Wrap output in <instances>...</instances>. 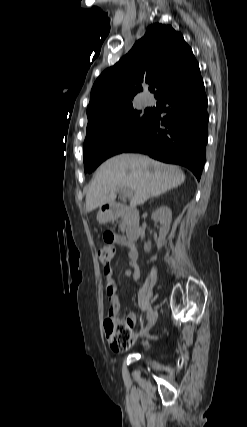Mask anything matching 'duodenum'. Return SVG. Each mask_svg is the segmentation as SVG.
Returning a JSON list of instances; mask_svg holds the SVG:
<instances>
[{"label":"duodenum","instance_id":"obj_1","mask_svg":"<svg viewBox=\"0 0 247 427\" xmlns=\"http://www.w3.org/2000/svg\"><path fill=\"white\" fill-rule=\"evenodd\" d=\"M104 211L109 218L122 217L124 219L126 226L125 241L129 245H134L141 231L139 213L135 209L119 202L107 203L104 206Z\"/></svg>","mask_w":247,"mask_h":427}]
</instances>
